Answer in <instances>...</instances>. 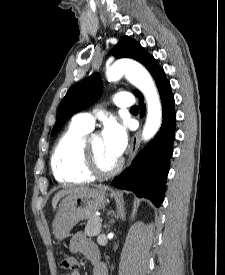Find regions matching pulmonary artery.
Listing matches in <instances>:
<instances>
[{
  "mask_svg": "<svg viewBox=\"0 0 225 275\" xmlns=\"http://www.w3.org/2000/svg\"><path fill=\"white\" fill-rule=\"evenodd\" d=\"M113 102L117 107L127 108L135 106V100L129 92H118L113 96ZM95 118L90 113H79L73 117V123L92 129Z\"/></svg>",
  "mask_w": 225,
  "mask_h": 275,
  "instance_id": "1",
  "label": "pulmonary artery"
}]
</instances>
